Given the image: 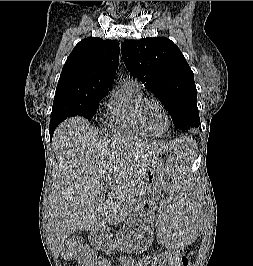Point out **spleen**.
Listing matches in <instances>:
<instances>
[{"instance_id":"1","label":"spleen","mask_w":253,"mask_h":266,"mask_svg":"<svg viewBox=\"0 0 253 266\" xmlns=\"http://www.w3.org/2000/svg\"><path fill=\"white\" fill-rule=\"evenodd\" d=\"M185 143L193 141L192 136L184 138ZM197 155L196 147H179L178 153H171L167 168L171 171L170 184L172 190H167V199H173L170 207H158L155 216L156 245L163 248H191L192 242H198L201 229L203 207H194L192 199H201V190L190 189V177L193 161Z\"/></svg>"}]
</instances>
